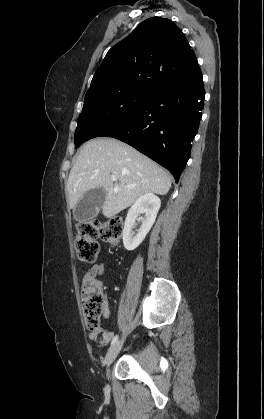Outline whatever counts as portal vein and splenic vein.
I'll list each match as a JSON object with an SVG mask.
<instances>
[{
  "label": "portal vein and splenic vein",
  "mask_w": 264,
  "mask_h": 419,
  "mask_svg": "<svg viewBox=\"0 0 264 419\" xmlns=\"http://www.w3.org/2000/svg\"><path fill=\"white\" fill-rule=\"evenodd\" d=\"M111 179L113 180V181H116L117 180V178H116V176H111ZM128 188H131V186L130 185H128L127 186ZM117 188H118V185H116V190H117Z\"/></svg>",
  "instance_id": "obj_1"
}]
</instances>
